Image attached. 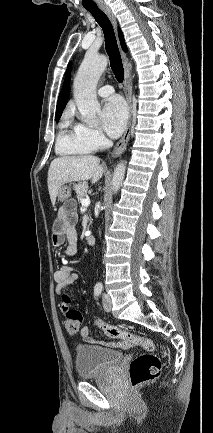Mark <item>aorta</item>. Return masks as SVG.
I'll return each mask as SVG.
<instances>
[{
	"mask_svg": "<svg viewBox=\"0 0 213 433\" xmlns=\"http://www.w3.org/2000/svg\"><path fill=\"white\" fill-rule=\"evenodd\" d=\"M108 59L104 55L87 53L74 79V99L81 119L89 125L97 124L100 105L97 101L96 86L107 67ZM126 164L119 163L113 174L112 189L116 194L125 177ZM97 286H102L98 283Z\"/></svg>",
	"mask_w": 213,
	"mask_h": 433,
	"instance_id": "obj_1",
	"label": "aorta"
}]
</instances>
